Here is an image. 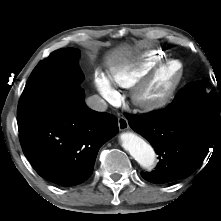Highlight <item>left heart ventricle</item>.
Instances as JSON below:
<instances>
[{
  "label": "left heart ventricle",
  "instance_id": "1",
  "mask_svg": "<svg viewBox=\"0 0 221 221\" xmlns=\"http://www.w3.org/2000/svg\"><path fill=\"white\" fill-rule=\"evenodd\" d=\"M180 71V66L176 63L170 64L165 67L156 77L151 87L149 88V94L152 96H158L166 92L176 80Z\"/></svg>",
  "mask_w": 221,
  "mask_h": 221
}]
</instances>
